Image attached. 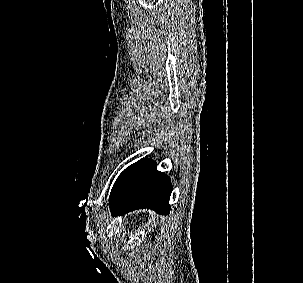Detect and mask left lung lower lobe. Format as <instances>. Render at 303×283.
Returning a JSON list of instances; mask_svg holds the SVG:
<instances>
[{"instance_id": "1", "label": "left lung lower lobe", "mask_w": 303, "mask_h": 283, "mask_svg": "<svg viewBox=\"0 0 303 283\" xmlns=\"http://www.w3.org/2000/svg\"><path fill=\"white\" fill-rule=\"evenodd\" d=\"M171 191L170 178L156 170V163L151 159H141L117 178L109 198L112 214L140 208L166 214L170 211Z\"/></svg>"}]
</instances>
